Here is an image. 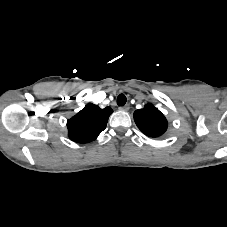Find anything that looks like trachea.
I'll use <instances>...</instances> for the list:
<instances>
[{"label":"trachea","instance_id":"1","mask_svg":"<svg viewBox=\"0 0 227 227\" xmlns=\"http://www.w3.org/2000/svg\"><path fill=\"white\" fill-rule=\"evenodd\" d=\"M126 96L124 94H120L118 97H117V105L118 106H124L126 104Z\"/></svg>","mask_w":227,"mask_h":227}]
</instances>
